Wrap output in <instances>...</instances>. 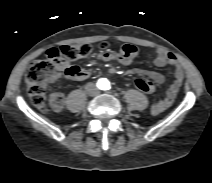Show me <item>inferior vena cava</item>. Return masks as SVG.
<instances>
[{
    "label": "inferior vena cava",
    "instance_id": "1",
    "mask_svg": "<svg viewBox=\"0 0 212 183\" xmlns=\"http://www.w3.org/2000/svg\"><path fill=\"white\" fill-rule=\"evenodd\" d=\"M85 88L90 96H96L100 93L99 89L94 83H88Z\"/></svg>",
    "mask_w": 212,
    "mask_h": 183
}]
</instances>
